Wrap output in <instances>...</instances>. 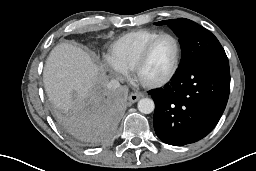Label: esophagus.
Here are the masks:
<instances>
[{
	"label": "esophagus",
	"instance_id": "34e87169",
	"mask_svg": "<svg viewBox=\"0 0 256 171\" xmlns=\"http://www.w3.org/2000/svg\"><path fill=\"white\" fill-rule=\"evenodd\" d=\"M141 95L139 93H131L128 97L130 103H135L140 99Z\"/></svg>",
	"mask_w": 256,
	"mask_h": 171
}]
</instances>
